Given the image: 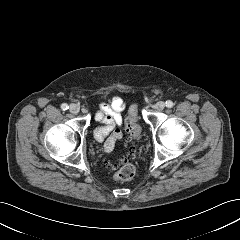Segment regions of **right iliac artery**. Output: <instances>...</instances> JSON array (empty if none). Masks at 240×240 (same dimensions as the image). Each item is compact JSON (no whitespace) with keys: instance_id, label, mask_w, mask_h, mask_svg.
<instances>
[{"instance_id":"right-iliac-artery-1","label":"right iliac artery","mask_w":240,"mask_h":240,"mask_svg":"<svg viewBox=\"0 0 240 240\" xmlns=\"http://www.w3.org/2000/svg\"><path fill=\"white\" fill-rule=\"evenodd\" d=\"M61 109L65 111V110L69 109V106L66 103H63L61 105Z\"/></svg>"}]
</instances>
